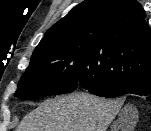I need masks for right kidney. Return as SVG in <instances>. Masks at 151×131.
<instances>
[{
    "label": "right kidney",
    "instance_id": "right-kidney-1",
    "mask_svg": "<svg viewBox=\"0 0 151 131\" xmlns=\"http://www.w3.org/2000/svg\"><path fill=\"white\" fill-rule=\"evenodd\" d=\"M128 119L129 120H133V117L132 116H128ZM119 128H122L123 131H133L134 126L131 125L129 127H123L122 118H120L119 120L114 122V124L112 126V131H118Z\"/></svg>",
    "mask_w": 151,
    "mask_h": 131
}]
</instances>
